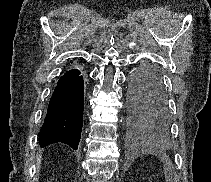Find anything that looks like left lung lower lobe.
Segmentation results:
<instances>
[{
	"mask_svg": "<svg viewBox=\"0 0 211 182\" xmlns=\"http://www.w3.org/2000/svg\"><path fill=\"white\" fill-rule=\"evenodd\" d=\"M130 110L153 134L167 133L170 114L161 75L150 63L140 64L130 76Z\"/></svg>",
	"mask_w": 211,
	"mask_h": 182,
	"instance_id": "left-lung-lower-lobe-1",
	"label": "left lung lower lobe"
}]
</instances>
